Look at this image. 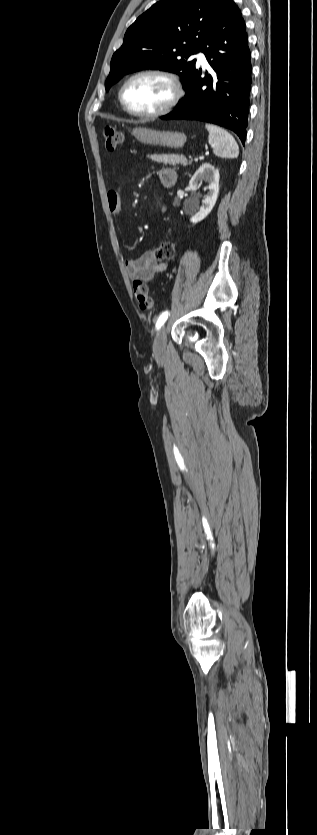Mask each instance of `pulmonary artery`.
<instances>
[{
    "instance_id": "1",
    "label": "pulmonary artery",
    "mask_w": 317,
    "mask_h": 835,
    "mask_svg": "<svg viewBox=\"0 0 317 835\" xmlns=\"http://www.w3.org/2000/svg\"><path fill=\"white\" fill-rule=\"evenodd\" d=\"M194 57H195V58H197V61H198L200 64H202L203 66H207V65H208L207 60H206V57H205V54H204L202 51H199L198 53H196V54L194 55Z\"/></svg>"
}]
</instances>
